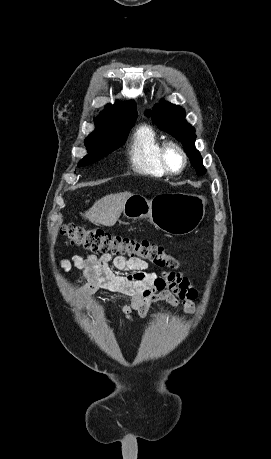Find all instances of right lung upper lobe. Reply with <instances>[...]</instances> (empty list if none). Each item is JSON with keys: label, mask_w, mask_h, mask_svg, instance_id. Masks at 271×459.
I'll list each match as a JSON object with an SVG mask.
<instances>
[{"label": "right lung upper lobe", "mask_w": 271, "mask_h": 459, "mask_svg": "<svg viewBox=\"0 0 271 459\" xmlns=\"http://www.w3.org/2000/svg\"><path fill=\"white\" fill-rule=\"evenodd\" d=\"M137 107L134 101L124 104L116 102L114 105L108 104L100 116L95 119L96 123L107 121H130L136 120Z\"/></svg>", "instance_id": "1"}]
</instances>
